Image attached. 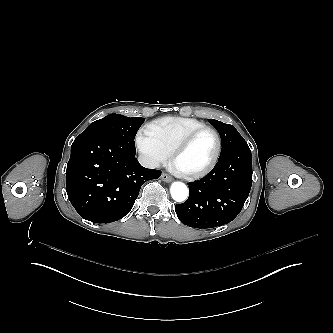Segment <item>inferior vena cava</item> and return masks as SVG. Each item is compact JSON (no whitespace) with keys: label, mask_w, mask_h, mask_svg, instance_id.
Wrapping results in <instances>:
<instances>
[{"label":"inferior vena cava","mask_w":333,"mask_h":333,"mask_svg":"<svg viewBox=\"0 0 333 333\" xmlns=\"http://www.w3.org/2000/svg\"><path fill=\"white\" fill-rule=\"evenodd\" d=\"M139 162L141 163V165H143L144 167L147 168H157L159 167V163L155 160H152L150 158H148L147 156L144 155H140L139 156Z\"/></svg>","instance_id":"obj_1"}]
</instances>
